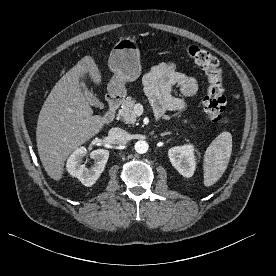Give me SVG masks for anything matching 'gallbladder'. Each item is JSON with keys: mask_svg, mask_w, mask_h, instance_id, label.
I'll list each match as a JSON object with an SVG mask.
<instances>
[{"mask_svg": "<svg viewBox=\"0 0 276 276\" xmlns=\"http://www.w3.org/2000/svg\"><path fill=\"white\" fill-rule=\"evenodd\" d=\"M82 91L84 93V96L86 100L91 104V105H98L99 100L98 98L88 89L86 86L85 82L83 80L80 81Z\"/></svg>", "mask_w": 276, "mask_h": 276, "instance_id": "gallbladder-1", "label": "gallbladder"}]
</instances>
